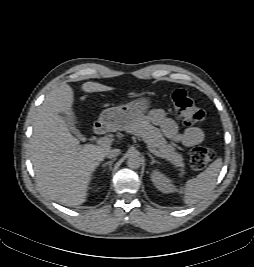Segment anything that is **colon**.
<instances>
[{"instance_id": "1", "label": "colon", "mask_w": 254, "mask_h": 267, "mask_svg": "<svg viewBox=\"0 0 254 267\" xmlns=\"http://www.w3.org/2000/svg\"><path fill=\"white\" fill-rule=\"evenodd\" d=\"M172 104L175 114L187 125L199 124L205 121L206 114L190 98L186 91L178 89L172 94ZM214 158V152L203 146L195 147L190 153V165L195 170L204 169Z\"/></svg>"}]
</instances>
